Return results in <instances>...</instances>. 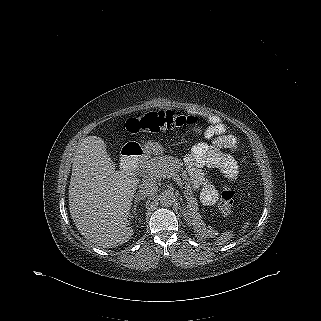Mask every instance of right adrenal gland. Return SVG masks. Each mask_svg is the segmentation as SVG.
<instances>
[{
  "label": "right adrenal gland",
  "mask_w": 321,
  "mask_h": 321,
  "mask_svg": "<svg viewBox=\"0 0 321 321\" xmlns=\"http://www.w3.org/2000/svg\"><path fill=\"white\" fill-rule=\"evenodd\" d=\"M140 200H144V197L142 196V195H140V194H137L136 196H135V202H134V208H133V210H134V214L135 215H137V213H136V211H137V205H138V201H140ZM136 218V217H135ZM140 223H141V219H140V221H139Z\"/></svg>",
  "instance_id": "right-adrenal-gland-1"
}]
</instances>
